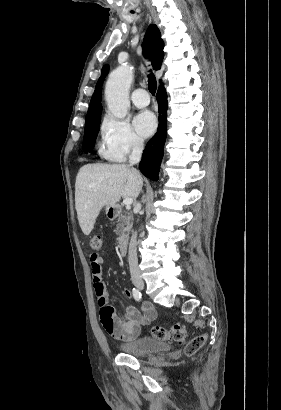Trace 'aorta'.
Masks as SVG:
<instances>
[{
  "label": "aorta",
  "mask_w": 281,
  "mask_h": 410,
  "mask_svg": "<svg viewBox=\"0 0 281 410\" xmlns=\"http://www.w3.org/2000/svg\"><path fill=\"white\" fill-rule=\"evenodd\" d=\"M133 79L132 68L122 65L110 75L105 86L108 109L117 118H124L130 107L129 88Z\"/></svg>",
  "instance_id": "obj_1"
}]
</instances>
